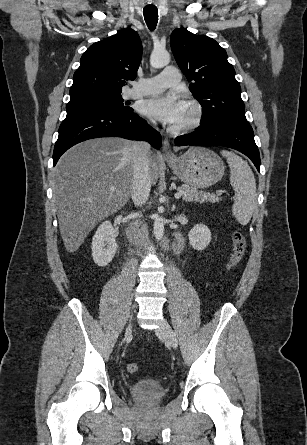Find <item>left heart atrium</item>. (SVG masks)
<instances>
[{"label": "left heart atrium", "instance_id": "1", "mask_svg": "<svg viewBox=\"0 0 307 445\" xmlns=\"http://www.w3.org/2000/svg\"><path fill=\"white\" fill-rule=\"evenodd\" d=\"M187 103L174 91H162L143 101L141 112L160 121L176 124L186 111Z\"/></svg>", "mask_w": 307, "mask_h": 445}]
</instances>
